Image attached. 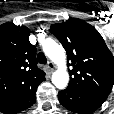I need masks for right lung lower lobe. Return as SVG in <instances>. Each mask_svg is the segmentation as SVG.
I'll use <instances>...</instances> for the list:
<instances>
[{
	"label": "right lung lower lobe",
	"instance_id": "obj_1",
	"mask_svg": "<svg viewBox=\"0 0 114 114\" xmlns=\"http://www.w3.org/2000/svg\"><path fill=\"white\" fill-rule=\"evenodd\" d=\"M37 86L0 102V112L4 114H16L32 106L36 100L35 92Z\"/></svg>",
	"mask_w": 114,
	"mask_h": 114
}]
</instances>
